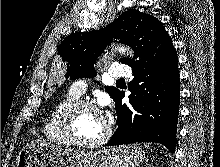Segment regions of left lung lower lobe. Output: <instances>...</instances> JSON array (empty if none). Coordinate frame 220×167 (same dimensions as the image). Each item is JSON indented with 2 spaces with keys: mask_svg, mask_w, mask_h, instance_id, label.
Segmentation results:
<instances>
[{
  "mask_svg": "<svg viewBox=\"0 0 220 167\" xmlns=\"http://www.w3.org/2000/svg\"><path fill=\"white\" fill-rule=\"evenodd\" d=\"M129 105L122 104L124 92L115 100L118 128L107 146L156 142L172 153L176 146L180 81L175 49L166 55L131 67Z\"/></svg>",
  "mask_w": 220,
  "mask_h": 167,
  "instance_id": "1",
  "label": "left lung lower lobe"
}]
</instances>
